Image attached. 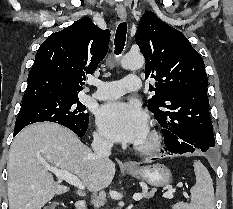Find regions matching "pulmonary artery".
<instances>
[{"mask_svg": "<svg viewBox=\"0 0 233 209\" xmlns=\"http://www.w3.org/2000/svg\"><path fill=\"white\" fill-rule=\"evenodd\" d=\"M97 90L92 97L99 100L113 99L127 92L138 91L141 87V78L137 75H128L117 81H93Z\"/></svg>", "mask_w": 233, "mask_h": 209, "instance_id": "e3ab8cb5", "label": "pulmonary artery"}]
</instances>
